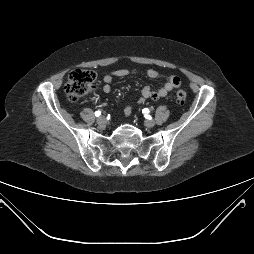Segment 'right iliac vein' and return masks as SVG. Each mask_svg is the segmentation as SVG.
<instances>
[{
	"label": "right iliac vein",
	"mask_w": 254,
	"mask_h": 254,
	"mask_svg": "<svg viewBox=\"0 0 254 254\" xmlns=\"http://www.w3.org/2000/svg\"><path fill=\"white\" fill-rule=\"evenodd\" d=\"M97 123L99 125H104L106 123V118L104 116H100L97 118Z\"/></svg>",
	"instance_id": "63e3f726"
}]
</instances>
